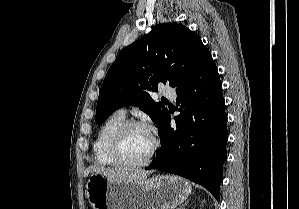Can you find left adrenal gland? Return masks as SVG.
<instances>
[{"label": "left adrenal gland", "mask_w": 299, "mask_h": 209, "mask_svg": "<svg viewBox=\"0 0 299 209\" xmlns=\"http://www.w3.org/2000/svg\"><path fill=\"white\" fill-rule=\"evenodd\" d=\"M186 204L180 206L178 209H185Z\"/></svg>", "instance_id": "obj_1"}]
</instances>
